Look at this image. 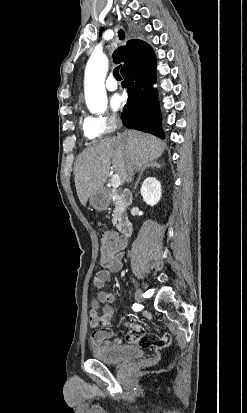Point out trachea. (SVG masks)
<instances>
[{
  "label": "trachea",
  "instance_id": "obj_1",
  "mask_svg": "<svg viewBox=\"0 0 247 413\" xmlns=\"http://www.w3.org/2000/svg\"><path fill=\"white\" fill-rule=\"evenodd\" d=\"M120 38L123 39L124 38V33L122 31H120ZM121 65H119L118 67L114 68L113 70V75L116 78V80H122L121 75L119 74V69H120Z\"/></svg>",
  "mask_w": 247,
  "mask_h": 413
}]
</instances>
